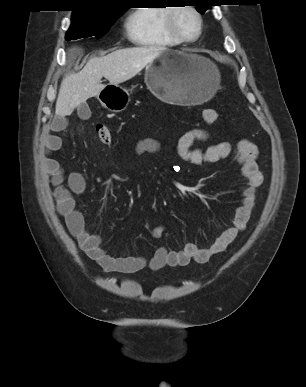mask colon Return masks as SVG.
<instances>
[{
	"label": "colon",
	"mask_w": 306,
	"mask_h": 387,
	"mask_svg": "<svg viewBox=\"0 0 306 387\" xmlns=\"http://www.w3.org/2000/svg\"><path fill=\"white\" fill-rule=\"evenodd\" d=\"M203 119L209 123H215L219 115L214 109H205L202 113ZM97 136L101 143L109 145L112 142V135L110 130L105 125H98L96 127Z\"/></svg>",
	"instance_id": "obj_1"
}]
</instances>
